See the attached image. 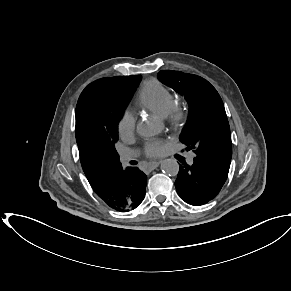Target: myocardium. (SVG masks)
Here are the masks:
<instances>
[{
    "label": "myocardium",
    "mask_w": 291,
    "mask_h": 291,
    "mask_svg": "<svg viewBox=\"0 0 291 291\" xmlns=\"http://www.w3.org/2000/svg\"><path fill=\"white\" fill-rule=\"evenodd\" d=\"M170 126L175 129L182 128L187 122V112L179 106H174L165 116Z\"/></svg>",
    "instance_id": "f54148a6"
}]
</instances>
